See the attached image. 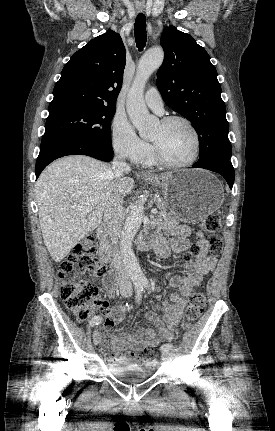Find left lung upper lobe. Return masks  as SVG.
Instances as JSON below:
<instances>
[{
	"mask_svg": "<svg viewBox=\"0 0 275 431\" xmlns=\"http://www.w3.org/2000/svg\"><path fill=\"white\" fill-rule=\"evenodd\" d=\"M161 46L165 54L157 87L164 102L194 125L200 145L197 163L230 160L226 108L210 56L194 38L174 26L165 28Z\"/></svg>",
	"mask_w": 275,
	"mask_h": 431,
	"instance_id": "1",
	"label": "left lung upper lobe"
}]
</instances>
